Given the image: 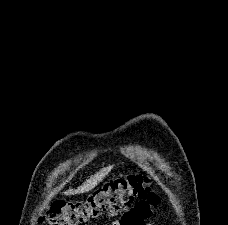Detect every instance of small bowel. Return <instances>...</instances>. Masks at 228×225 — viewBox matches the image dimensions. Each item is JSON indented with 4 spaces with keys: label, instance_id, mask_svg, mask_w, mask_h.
<instances>
[{
    "label": "small bowel",
    "instance_id": "c3829d8e",
    "mask_svg": "<svg viewBox=\"0 0 228 225\" xmlns=\"http://www.w3.org/2000/svg\"><path fill=\"white\" fill-rule=\"evenodd\" d=\"M141 204H135V207H124L119 211H110L108 216L110 219L122 216L121 220H114L112 225H142L143 218H149V205L144 204L145 200H140ZM130 212H143V213H130ZM148 225H154L149 222Z\"/></svg>",
    "mask_w": 228,
    "mask_h": 225
}]
</instances>
